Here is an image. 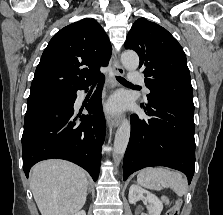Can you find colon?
Returning a JSON list of instances; mask_svg holds the SVG:
<instances>
[{"mask_svg":"<svg viewBox=\"0 0 223 215\" xmlns=\"http://www.w3.org/2000/svg\"><path fill=\"white\" fill-rule=\"evenodd\" d=\"M181 207V202L178 201L176 204L170 208L166 215H178Z\"/></svg>","mask_w":223,"mask_h":215,"instance_id":"5ec220e1","label":"colon"}]
</instances>
